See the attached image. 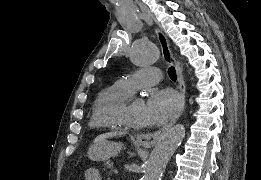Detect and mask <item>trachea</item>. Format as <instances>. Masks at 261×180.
I'll use <instances>...</instances> for the list:
<instances>
[{
    "mask_svg": "<svg viewBox=\"0 0 261 180\" xmlns=\"http://www.w3.org/2000/svg\"><path fill=\"white\" fill-rule=\"evenodd\" d=\"M168 75L171 78V80H176L177 79L176 70H175L174 67H169Z\"/></svg>",
    "mask_w": 261,
    "mask_h": 180,
    "instance_id": "1",
    "label": "trachea"
}]
</instances>
